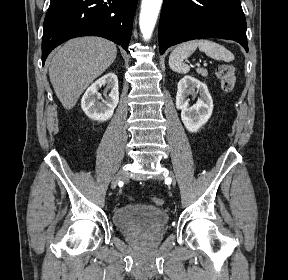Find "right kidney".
Listing matches in <instances>:
<instances>
[{"instance_id":"obj_1","label":"right kidney","mask_w":288,"mask_h":280,"mask_svg":"<svg viewBox=\"0 0 288 280\" xmlns=\"http://www.w3.org/2000/svg\"><path fill=\"white\" fill-rule=\"evenodd\" d=\"M105 85V100H103L98 90ZM118 102V78L115 73H107L86 90L81 100V107L89 118L104 122L112 117Z\"/></svg>"}]
</instances>
